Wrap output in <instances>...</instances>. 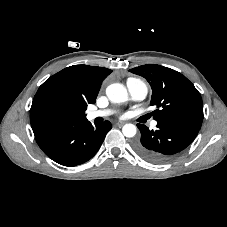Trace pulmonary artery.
Listing matches in <instances>:
<instances>
[{
    "instance_id": "pulmonary-artery-1",
    "label": "pulmonary artery",
    "mask_w": 227,
    "mask_h": 227,
    "mask_svg": "<svg viewBox=\"0 0 227 227\" xmlns=\"http://www.w3.org/2000/svg\"><path fill=\"white\" fill-rule=\"evenodd\" d=\"M126 85H127V89H128V92H129L130 99L133 100V101L143 100L148 93L147 85L139 79L130 78V79H128ZM111 113H112L111 110L89 111L87 113V119L88 120H94L95 118H98V117L108 116ZM156 125H157V122L153 121L152 126L155 127Z\"/></svg>"
}]
</instances>
